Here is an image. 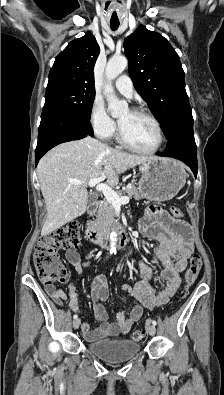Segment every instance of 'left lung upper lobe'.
<instances>
[{
  "label": "left lung upper lobe",
  "instance_id": "left-lung-upper-lobe-1",
  "mask_svg": "<svg viewBox=\"0 0 224 395\" xmlns=\"http://www.w3.org/2000/svg\"><path fill=\"white\" fill-rule=\"evenodd\" d=\"M134 87L161 123L165 135L191 113L179 56L161 34L140 25L124 42Z\"/></svg>",
  "mask_w": 224,
  "mask_h": 395
}]
</instances>
